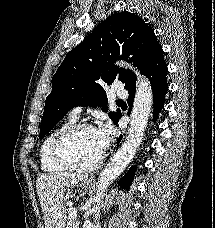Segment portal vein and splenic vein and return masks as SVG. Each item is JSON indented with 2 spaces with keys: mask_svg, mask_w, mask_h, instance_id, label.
Returning <instances> with one entry per match:
<instances>
[{
  "mask_svg": "<svg viewBox=\"0 0 215 228\" xmlns=\"http://www.w3.org/2000/svg\"><path fill=\"white\" fill-rule=\"evenodd\" d=\"M70 210H71V216H73V218H77V212L75 208H70Z\"/></svg>",
  "mask_w": 215,
  "mask_h": 228,
  "instance_id": "1",
  "label": "portal vein and splenic vein"
}]
</instances>
